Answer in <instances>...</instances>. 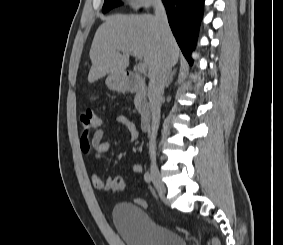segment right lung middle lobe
<instances>
[{"label":"right lung middle lobe","mask_w":283,"mask_h":245,"mask_svg":"<svg viewBox=\"0 0 283 245\" xmlns=\"http://www.w3.org/2000/svg\"><path fill=\"white\" fill-rule=\"evenodd\" d=\"M120 4L119 0H105L102 12L105 13Z\"/></svg>","instance_id":"1"}]
</instances>
